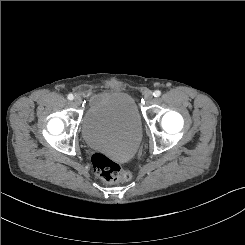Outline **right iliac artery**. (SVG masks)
<instances>
[{
  "label": "right iliac artery",
  "instance_id": "obj_1",
  "mask_svg": "<svg viewBox=\"0 0 245 245\" xmlns=\"http://www.w3.org/2000/svg\"><path fill=\"white\" fill-rule=\"evenodd\" d=\"M68 99H69V100H73V99H74V96H73L72 94H69V95H68Z\"/></svg>",
  "mask_w": 245,
  "mask_h": 245
}]
</instances>
